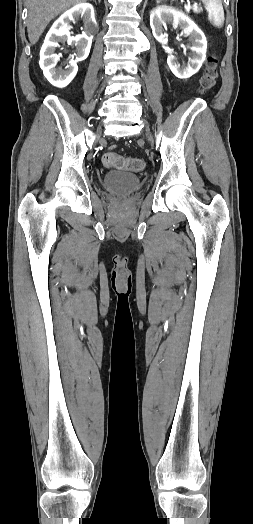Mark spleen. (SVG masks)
I'll list each match as a JSON object with an SVG mask.
<instances>
[{
  "mask_svg": "<svg viewBox=\"0 0 253 524\" xmlns=\"http://www.w3.org/2000/svg\"><path fill=\"white\" fill-rule=\"evenodd\" d=\"M208 10L209 21L217 28L224 24V10L221 0H202Z\"/></svg>",
  "mask_w": 253,
  "mask_h": 524,
  "instance_id": "obj_1",
  "label": "spleen"
}]
</instances>
